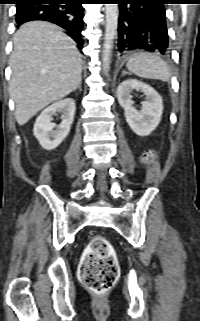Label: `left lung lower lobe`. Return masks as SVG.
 Wrapping results in <instances>:
<instances>
[{"label": "left lung lower lobe", "mask_w": 200, "mask_h": 321, "mask_svg": "<svg viewBox=\"0 0 200 321\" xmlns=\"http://www.w3.org/2000/svg\"><path fill=\"white\" fill-rule=\"evenodd\" d=\"M119 4L118 51H168L164 4L168 0H115Z\"/></svg>", "instance_id": "left-lung-lower-lobe-1"}]
</instances>
